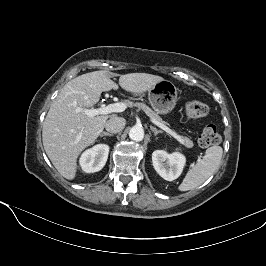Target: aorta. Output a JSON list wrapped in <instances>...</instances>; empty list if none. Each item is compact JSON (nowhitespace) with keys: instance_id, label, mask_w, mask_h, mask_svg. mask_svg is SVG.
I'll return each instance as SVG.
<instances>
[{"instance_id":"762f6f07","label":"aorta","mask_w":266,"mask_h":266,"mask_svg":"<svg viewBox=\"0 0 266 266\" xmlns=\"http://www.w3.org/2000/svg\"><path fill=\"white\" fill-rule=\"evenodd\" d=\"M129 137L131 140L139 142L144 138V130L141 126H133L129 131Z\"/></svg>"}]
</instances>
